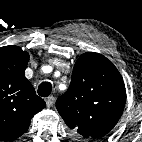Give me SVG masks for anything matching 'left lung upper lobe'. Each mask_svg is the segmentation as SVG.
<instances>
[{"instance_id":"left-lung-upper-lobe-1","label":"left lung upper lobe","mask_w":142,"mask_h":142,"mask_svg":"<svg viewBox=\"0 0 142 142\" xmlns=\"http://www.w3.org/2000/svg\"><path fill=\"white\" fill-rule=\"evenodd\" d=\"M126 101L123 79L103 55L89 52L76 61L69 89L56 107L70 129L82 139L99 138L120 119Z\"/></svg>"}]
</instances>
